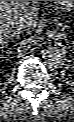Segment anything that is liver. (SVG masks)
Segmentation results:
<instances>
[{
    "mask_svg": "<svg viewBox=\"0 0 74 122\" xmlns=\"http://www.w3.org/2000/svg\"><path fill=\"white\" fill-rule=\"evenodd\" d=\"M38 1H1L0 5V41L10 33V22L14 17H23L28 22V28H34L38 20Z\"/></svg>",
    "mask_w": 74,
    "mask_h": 122,
    "instance_id": "obj_1",
    "label": "liver"
}]
</instances>
